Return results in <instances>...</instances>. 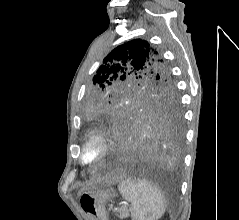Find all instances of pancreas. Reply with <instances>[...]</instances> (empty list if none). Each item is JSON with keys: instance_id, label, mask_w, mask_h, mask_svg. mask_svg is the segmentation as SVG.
I'll return each instance as SVG.
<instances>
[{"instance_id": "obj_1", "label": "pancreas", "mask_w": 239, "mask_h": 220, "mask_svg": "<svg viewBox=\"0 0 239 220\" xmlns=\"http://www.w3.org/2000/svg\"><path fill=\"white\" fill-rule=\"evenodd\" d=\"M119 212H120V218H125L128 216V211H127L126 207H121Z\"/></svg>"}]
</instances>
